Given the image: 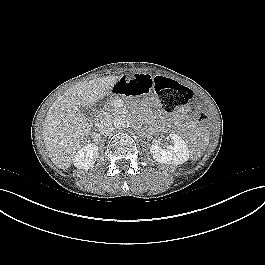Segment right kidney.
Segmentation results:
<instances>
[{"label":"right kidney","mask_w":265,"mask_h":265,"mask_svg":"<svg viewBox=\"0 0 265 265\" xmlns=\"http://www.w3.org/2000/svg\"><path fill=\"white\" fill-rule=\"evenodd\" d=\"M98 157V146L94 143L81 147L74 155L73 164L78 169L88 170Z\"/></svg>","instance_id":"obj_1"}]
</instances>
